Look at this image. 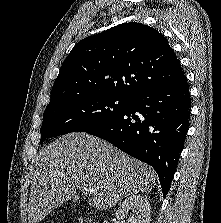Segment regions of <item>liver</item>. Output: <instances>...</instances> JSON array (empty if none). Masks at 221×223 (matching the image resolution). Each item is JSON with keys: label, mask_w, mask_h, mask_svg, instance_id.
Returning a JSON list of instances; mask_svg holds the SVG:
<instances>
[{"label": "liver", "mask_w": 221, "mask_h": 223, "mask_svg": "<svg viewBox=\"0 0 221 223\" xmlns=\"http://www.w3.org/2000/svg\"><path fill=\"white\" fill-rule=\"evenodd\" d=\"M85 183L88 203L106 210L123 198L149 192L156 174L147 164L83 132L66 134L40 150L31 179L29 223H39L73 198Z\"/></svg>", "instance_id": "liver-1"}]
</instances>
